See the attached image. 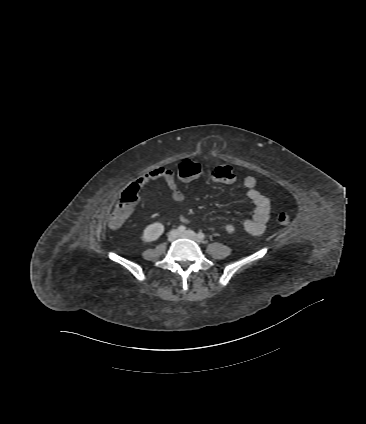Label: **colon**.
<instances>
[{
  "mask_svg": "<svg viewBox=\"0 0 366 424\" xmlns=\"http://www.w3.org/2000/svg\"><path fill=\"white\" fill-rule=\"evenodd\" d=\"M202 170L203 168L199 163L183 159L177 165V176L179 180L186 182L199 176ZM211 176L215 181L222 183H231L235 179L234 170L228 165H220L213 168ZM137 191V186L131 185L123 192L109 217L108 222L111 228H119L129 217L138 199ZM290 220L291 213L288 210H282L277 215V221L282 225H287Z\"/></svg>",
  "mask_w": 366,
  "mask_h": 424,
  "instance_id": "obj_1",
  "label": "colon"
}]
</instances>
